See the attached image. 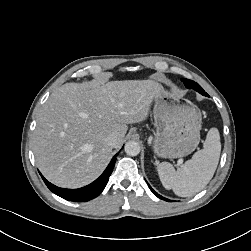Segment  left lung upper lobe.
Segmentation results:
<instances>
[{
    "label": "left lung upper lobe",
    "instance_id": "1",
    "mask_svg": "<svg viewBox=\"0 0 251 251\" xmlns=\"http://www.w3.org/2000/svg\"><path fill=\"white\" fill-rule=\"evenodd\" d=\"M181 80L184 83L186 88L194 89L197 92H199L200 94H202L204 96H208V94L202 89V87L198 83H196L192 80H189V79H185V78H182Z\"/></svg>",
    "mask_w": 251,
    "mask_h": 251
}]
</instances>
